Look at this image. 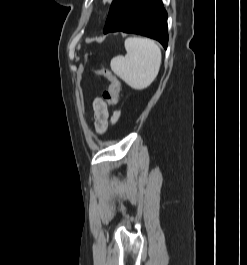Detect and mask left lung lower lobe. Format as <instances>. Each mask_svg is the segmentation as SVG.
I'll return each instance as SVG.
<instances>
[{
  "mask_svg": "<svg viewBox=\"0 0 247 265\" xmlns=\"http://www.w3.org/2000/svg\"><path fill=\"white\" fill-rule=\"evenodd\" d=\"M123 31L168 44L167 12L161 0H113L104 34Z\"/></svg>",
  "mask_w": 247,
  "mask_h": 265,
  "instance_id": "left-lung-lower-lobe-1",
  "label": "left lung lower lobe"
}]
</instances>
